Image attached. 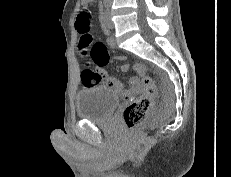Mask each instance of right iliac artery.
<instances>
[{
	"label": "right iliac artery",
	"instance_id": "right-iliac-artery-1",
	"mask_svg": "<svg viewBox=\"0 0 231 177\" xmlns=\"http://www.w3.org/2000/svg\"><path fill=\"white\" fill-rule=\"evenodd\" d=\"M101 12H103V8H101Z\"/></svg>",
	"mask_w": 231,
	"mask_h": 177
}]
</instances>
